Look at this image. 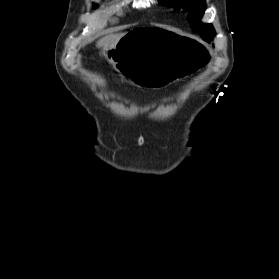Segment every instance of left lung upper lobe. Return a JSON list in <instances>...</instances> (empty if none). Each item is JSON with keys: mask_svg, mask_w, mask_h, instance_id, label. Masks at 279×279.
I'll list each match as a JSON object with an SVG mask.
<instances>
[{"mask_svg": "<svg viewBox=\"0 0 279 279\" xmlns=\"http://www.w3.org/2000/svg\"><path fill=\"white\" fill-rule=\"evenodd\" d=\"M160 4L184 8L189 11L188 20L191 27L199 32L206 41L210 42L215 36V30L211 24H201L200 18L206 9L205 0H160Z\"/></svg>", "mask_w": 279, "mask_h": 279, "instance_id": "obj_1", "label": "left lung upper lobe"}]
</instances>
